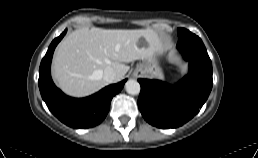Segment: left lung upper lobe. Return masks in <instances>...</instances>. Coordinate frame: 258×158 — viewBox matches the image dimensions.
Instances as JSON below:
<instances>
[{
  "instance_id": "1",
  "label": "left lung upper lobe",
  "mask_w": 258,
  "mask_h": 158,
  "mask_svg": "<svg viewBox=\"0 0 258 158\" xmlns=\"http://www.w3.org/2000/svg\"><path fill=\"white\" fill-rule=\"evenodd\" d=\"M190 31L184 28H178V36L179 38H182L186 36Z\"/></svg>"
}]
</instances>
